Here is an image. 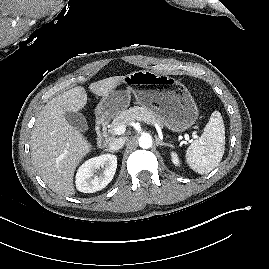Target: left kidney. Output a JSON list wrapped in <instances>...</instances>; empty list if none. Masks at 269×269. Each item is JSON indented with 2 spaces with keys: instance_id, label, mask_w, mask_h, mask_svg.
Wrapping results in <instances>:
<instances>
[{
  "instance_id": "left-kidney-1",
  "label": "left kidney",
  "mask_w": 269,
  "mask_h": 269,
  "mask_svg": "<svg viewBox=\"0 0 269 269\" xmlns=\"http://www.w3.org/2000/svg\"><path fill=\"white\" fill-rule=\"evenodd\" d=\"M171 158H172V162L176 165V166H180V160L178 158V155L175 152L171 153Z\"/></svg>"
}]
</instances>
